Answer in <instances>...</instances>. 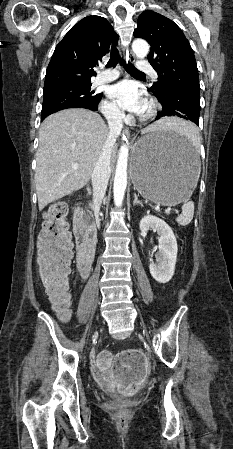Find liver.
I'll return each mask as SVG.
<instances>
[{
    "mask_svg": "<svg viewBox=\"0 0 233 449\" xmlns=\"http://www.w3.org/2000/svg\"><path fill=\"white\" fill-rule=\"evenodd\" d=\"M181 120L163 118L141 131L172 129ZM109 131L101 116L86 109H66L41 124L36 155L35 185L39 210L85 186ZM117 146L112 148L113 163ZM78 168L74 169L73 165Z\"/></svg>",
    "mask_w": 233,
    "mask_h": 449,
    "instance_id": "1",
    "label": "liver"
}]
</instances>
